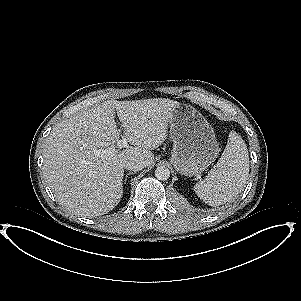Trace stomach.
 <instances>
[{
  "instance_id": "stomach-1",
  "label": "stomach",
  "mask_w": 301,
  "mask_h": 301,
  "mask_svg": "<svg viewBox=\"0 0 301 301\" xmlns=\"http://www.w3.org/2000/svg\"><path fill=\"white\" fill-rule=\"evenodd\" d=\"M170 138L173 142L170 162L183 176L202 174L220 152L211 126L188 109L176 113Z\"/></svg>"
}]
</instances>
